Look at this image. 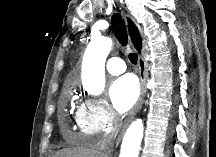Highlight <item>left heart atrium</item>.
<instances>
[{"label": "left heart atrium", "mask_w": 216, "mask_h": 157, "mask_svg": "<svg viewBox=\"0 0 216 157\" xmlns=\"http://www.w3.org/2000/svg\"><path fill=\"white\" fill-rule=\"evenodd\" d=\"M139 96V85L133 75H124L116 79L109 88V97L119 113L128 112Z\"/></svg>", "instance_id": "39dd6f15"}]
</instances>
